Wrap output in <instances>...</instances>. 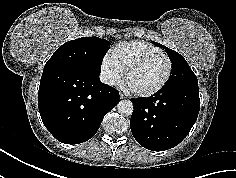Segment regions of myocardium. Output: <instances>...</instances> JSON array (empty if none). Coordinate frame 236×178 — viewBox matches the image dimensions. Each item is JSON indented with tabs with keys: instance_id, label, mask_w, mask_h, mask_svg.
I'll use <instances>...</instances> for the list:
<instances>
[{
	"instance_id": "1",
	"label": "myocardium",
	"mask_w": 236,
	"mask_h": 178,
	"mask_svg": "<svg viewBox=\"0 0 236 178\" xmlns=\"http://www.w3.org/2000/svg\"><path fill=\"white\" fill-rule=\"evenodd\" d=\"M156 56H163L168 61V70H167V73H166L164 79L156 87H154L150 90H147V91H135V90L127 87L125 85V79L128 76V74L131 71H133L134 69H136L137 67L141 66L143 63H145L149 59L156 57ZM172 71H173V62L168 54H166L164 52L151 53V54H148V55H145L143 57H139V58L133 60L125 67L124 72H123V84H124L126 90L129 93H131L132 95L137 96V97H149V96L154 95L157 92H159L168 83V81L171 78Z\"/></svg>"
}]
</instances>
